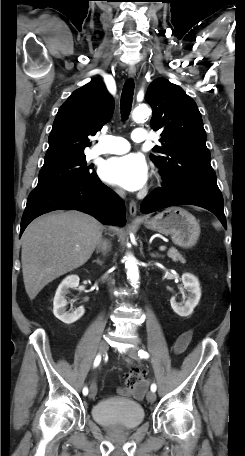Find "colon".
Segmentation results:
<instances>
[{"label":"colon","mask_w":245,"mask_h":456,"mask_svg":"<svg viewBox=\"0 0 245 456\" xmlns=\"http://www.w3.org/2000/svg\"><path fill=\"white\" fill-rule=\"evenodd\" d=\"M142 376H143V372L141 369L135 368V369L131 370L124 377L126 386L129 388H133L140 382V380L142 379Z\"/></svg>","instance_id":"obj_1"}]
</instances>
